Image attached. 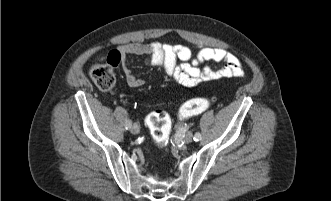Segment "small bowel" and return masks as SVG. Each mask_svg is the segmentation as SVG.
I'll return each instance as SVG.
<instances>
[{"instance_id": "1", "label": "small bowel", "mask_w": 331, "mask_h": 201, "mask_svg": "<svg viewBox=\"0 0 331 201\" xmlns=\"http://www.w3.org/2000/svg\"><path fill=\"white\" fill-rule=\"evenodd\" d=\"M117 53L123 63L126 82L132 88L144 85L145 81L137 77L126 64L129 56H147L149 65L161 67L167 76L186 87L244 75L240 60L223 48L201 47L194 54L189 47L180 44L154 41L124 44L119 47ZM211 61L223 62V65L220 68L204 65Z\"/></svg>"}]
</instances>
